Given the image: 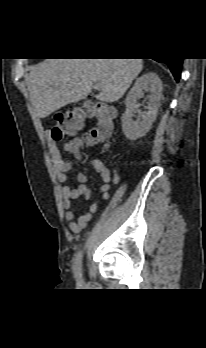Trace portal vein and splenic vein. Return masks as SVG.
<instances>
[{"instance_id":"portal-vein-and-splenic-vein-1","label":"portal vein and splenic vein","mask_w":206,"mask_h":348,"mask_svg":"<svg viewBox=\"0 0 206 348\" xmlns=\"http://www.w3.org/2000/svg\"><path fill=\"white\" fill-rule=\"evenodd\" d=\"M95 87H96V88H100V87H101L100 83H99V82H96Z\"/></svg>"}]
</instances>
